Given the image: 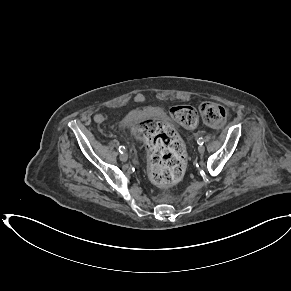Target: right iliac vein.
Segmentation results:
<instances>
[{
  "label": "right iliac vein",
  "mask_w": 291,
  "mask_h": 291,
  "mask_svg": "<svg viewBox=\"0 0 291 291\" xmlns=\"http://www.w3.org/2000/svg\"><path fill=\"white\" fill-rule=\"evenodd\" d=\"M120 160L126 162L128 160V155L126 153H121Z\"/></svg>",
  "instance_id": "63e3f726"
}]
</instances>
